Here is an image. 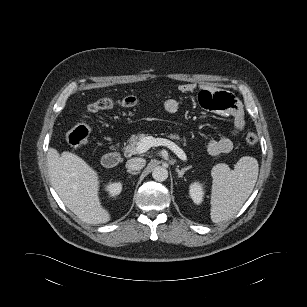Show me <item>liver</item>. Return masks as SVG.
Wrapping results in <instances>:
<instances>
[{"instance_id": "liver-1", "label": "liver", "mask_w": 307, "mask_h": 307, "mask_svg": "<svg viewBox=\"0 0 307 307\" xmlns=\"http://www.w3.org/2000/svg\"><path fill=\"white\" fill-rule=\"evenodd\" d=\"M47 164L52 186L65 206L81 221L102 224L110 220L98 196V174L82 158L49 148Z\"/></svg>"}]
</instances>
